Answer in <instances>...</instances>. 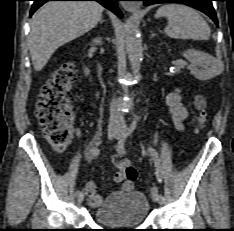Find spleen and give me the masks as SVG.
<instances>
[{
	"mask_svg": "<svg viewBox=\"0 0 234 231\" xmlns=\"http://www.w3.org/2000/svg\"><path fill=\"white\" fill-rule=\"evenodd\" d=\"M156 18L166 17V35L174 39L207 40L210 27L200 14L191 7L181 4H165L156 12Z\"/></svg>",
	"mask_w": 234,
	"mask_h": 231,
	"instance_id": "obj_1",
	"label": "spleen"
}]
</instances>
